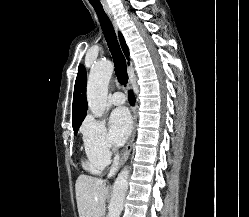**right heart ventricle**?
<instances>
[{
    "label": "right heart ventricle",
    "mask_w": 249,
    "mask_h": 217,
    "mask_svg": "<svg viewBox=\"0 0 249 217\" xmlns=\"http://www.w3.org/2000/svg\"><path fill=\"white\" fill-rule=\"evenodd\" d=\"M84 167L87 170H89L90 172H92V173H99L100 170L102 169V167H100L99 165L95 164L91 160L85 161L84 162Z\"/></svg>",
    "instance_id": "1"
}]
</instances>
